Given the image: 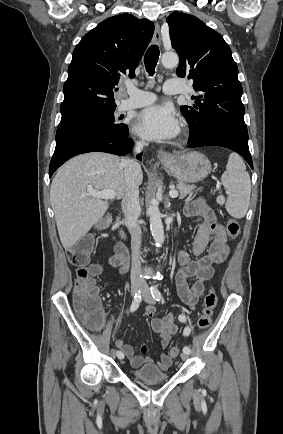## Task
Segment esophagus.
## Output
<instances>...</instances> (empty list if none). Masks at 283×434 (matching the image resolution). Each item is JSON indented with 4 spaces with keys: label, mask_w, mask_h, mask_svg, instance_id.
Masks as SVG:
<instances>
[{
    "label": "esophagus",
    "mask_w": 283,
    "mask_h": 434,
    "mask_svg": "<svg viewBox=\"0 0 283 434\" xmlns=\"http://www.w3.org/2000/svg\"><path fill=\"white\" fill-rule=\"evenodd\" d=\"M154 42L159 46L161 45L160 26L157 22L155 23ZM158 157L162 162H167L172 159V154L167 151L159 150Z\"/></svg>",
    "instance_id": "obj_1"
}]
</instances>
